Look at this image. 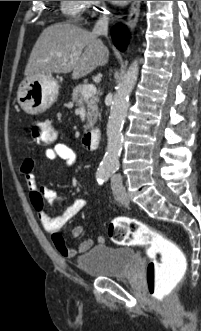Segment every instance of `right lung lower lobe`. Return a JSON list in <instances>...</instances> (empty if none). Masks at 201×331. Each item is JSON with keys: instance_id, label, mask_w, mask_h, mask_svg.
<instances>
[{"instance_id": "1", "label": "right lung lower lobe", "mask_w": 201, "mask_h": 331, "mask_svg": "<svg viewBox=\"0 0 201 331\" xmlns=\"http://www.w3.org/2000/svg\"><path fill=\"white\" fill-rule=\"evenodd\" d=\"M111 36L115 46L119 50L124 51L128 44L129 38L127 29L122 24H117L111 29Z\"/></svg>"}]
</instances>
